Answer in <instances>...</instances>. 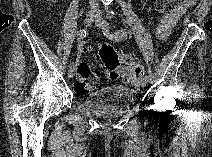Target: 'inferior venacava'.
Wrapping results in <instances>:
<instances>
[{"label":"inferior vena cava","mask_w":212,"mask_h":157,"mask_svg":"<svg viewBox=\"0 0 212 157\" xmlns=\"http://www.w3.org/2000/svg\"><path fill=\"white\" fill-rule=\"evenodd\" d=\"M89 3H90L91 10L97 11L99 9V5L96 0H90Z\"/></svg>","instance_id":"602c4592"}]
</instances>
